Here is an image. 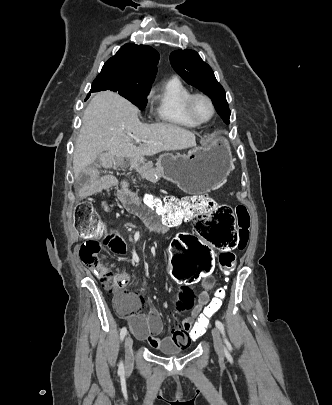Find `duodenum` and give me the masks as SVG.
<instances>
[{
  "label": "duodenum",
  "instance_id": "410a0bca",
  "mask_svg": "<svg viewBox=\"0 0 332 405\" xmlns=\"http://www.w3.org/2000/svg\"><path fill=\"white\" fill-rule=\"evenodd\" d=\"M154 219H156L157 220V217L156 216H154ZM173 225H176V224H173V223H166L165 224V226L167 227H171V226H173Z\"/></svg>",
  "mask_w": 332,
  "mask_h": 405
}]
</instances>
